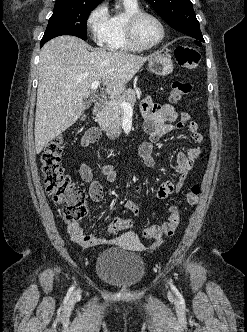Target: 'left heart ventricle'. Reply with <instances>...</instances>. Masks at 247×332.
Returning <instances> with one entry per match:
<instances>
[{"label":"left heart ventricle","mask_w":247,"mask_h":332,"mask_svg":"<svg viewBox=\"0 0 247 332\" xmlns=\"http://www.w3.org/2000/svg\"><path fill=\"white\" fill-rule=\"evenodd\" d=\"M136 36L143 45L157 42L161 37V28L152 17L145 16L140 19L136 27Z\"/></svg>","instance_id":"1"}]
</instances>
